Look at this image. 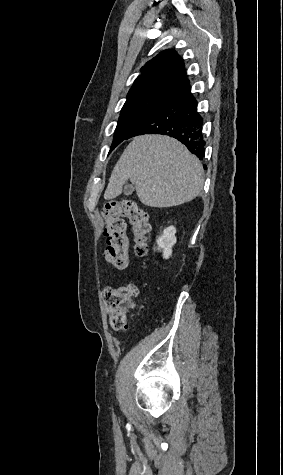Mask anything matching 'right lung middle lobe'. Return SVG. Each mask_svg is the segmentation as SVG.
<instances>
[{"mask_svg": "<svg viewBox=\"0 0 283 475\" xmlns=\"http://www.w3.org/2000/svg\"><path fill=\"white\" fill-rule=\"evenodd\" d=\"M176 90L160 89L136 97L128 98L120 113L111 149L114 150L129 133L151 112L157 109Z\"/></svg>", "mask_w": 283, "mask_h": 475, "instance_id": "dd1d6c3e", "label": "right lung middle lobe"}]
</instances>
